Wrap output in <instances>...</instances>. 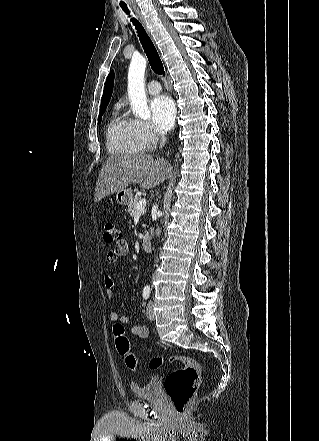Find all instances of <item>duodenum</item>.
<instances>
[{"mask_svg": "<svg viewBox=\"0 0 319 441\" xmlns=\"http://www.w3.org/2000/svg\"><path fill=\"white\" fill-rule=\"evenodd\" d=\"M141 244H142V248L145 251H150L151 249V237L148 233L144 234L142 236V240H141Z\"/></svg>", "mask_w": 319, "mask_h": 441, "instance_id": "410a0bca", "label": "duodenum"}]
</instances>
